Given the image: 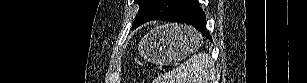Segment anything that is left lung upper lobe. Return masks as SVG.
Here are the masks:
<instances>
[{"mask_svg": "<svg viewBox=\"0 0 307 83\" xmlns=\"http://www.w3.org/2000/svg\"><path fill=\"white\" fill-rule=\"evenodd\" d=\"M176 0H135L139 4V13L132 28L157 19H163Z\"/></svg>", "mask_w": 307, "mask_h": 83, "instance_id": "left-lung-upper-lobe-1", "label": "left lung upper lobe"}]
</instances>
